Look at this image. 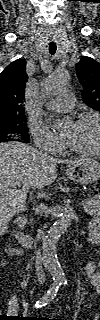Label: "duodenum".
<instances>
[{
  "instance_id": "410a0bca",
  "label": "duodenum",
  "mask_w": 100,
  "mask_h": 320,
  "mask_svg": "<svg viewBox=\"0 0 100 320\" xmlns=\"http://www.w3.org/2000/svg\"><path fill=\"white\" fill-rule=\"evenodd\" d=\"M25 224H26V219L24 217L17 219L16 225L20 229V233L18 234L17 239L23 246L31 247L34 240L31 235L24 232Z\"/></svg>"
}]
</instances>
